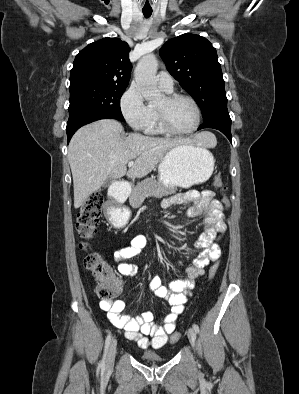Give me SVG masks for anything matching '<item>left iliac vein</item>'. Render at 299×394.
<instances>
[{
  "label": "left iliac vein",
  "instance_id": "obj_1",
  "mask_svg": "<svg viewBox=\"0 0 299 394\" xmlns=\"http://www.w3.org/2000/svg\"><path fill=\"white\" fill-rule=\"evenodd\" d=\"M187 335L191 345L194 347L196 343V331L193 328H189Z\"/></svg>",
  "mask_w": 299,
  "mask_h": 394
}]
</instances>
